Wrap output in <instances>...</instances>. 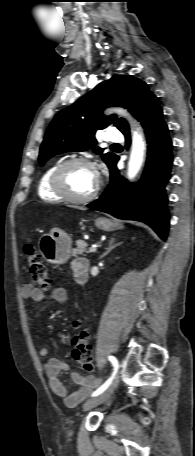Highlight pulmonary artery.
<instances>
[{"mask_svg":"<svg viewBox=\"0 0 195 456\" xmlns=\"http://www.w3.org/2000/svg\"><path fill=\"white\" fill-rule=\"evenodd\" d=\"M107 140L110 142H121L123 141V135L119 130L113 128L107 132Z\"/></svg>","mask_w":195,"mask_h":456,"instance_id":"1","label":"pulmonary artery"}]
</instances>
